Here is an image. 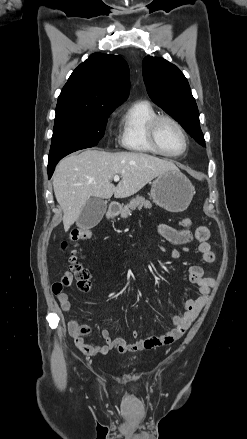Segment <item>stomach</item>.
Masks as SVG:
<instances>
[{
  "instance_id": "0dacf381",
  "label": "stomach",
  "mask_w": 247,
  "mask_h": 439,
  "mask_svg": "<svg viewBox=\"0 0 247 439\" xmlns=\"http://www.w3.org/2000/svg\"><path fill=\"white\" fill-rule=\"evenodd\" d=\"M194 194L192 183L179 169L157 176L151 188L153 202L170 212L186 210Z\"/></svg>"
}]
</instances>
